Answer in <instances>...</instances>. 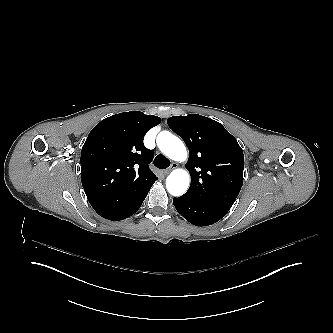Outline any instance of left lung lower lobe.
I'll use <instances>...</instances> for the list:
<instances>
[{
	"mask_svg": "<svg viewBox=\"0 0 333 333\" xmlns=\"http://www.w3.org/2000/svg\"><path fill=\"white\" fill-rule=\"evenodd\" d=\"M177 211L190 223L196 226H208L219 221L230 206L199 201L185 195L174 198Z\"/></svg>",
	"mask_w": 333,
	"mask_h": 333,
	"instance_id": "left-lung-lower-lobe-1",
	"label": "left lung lower lobe"
}]
</instances>
